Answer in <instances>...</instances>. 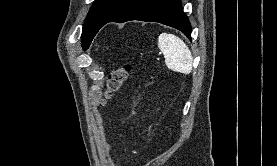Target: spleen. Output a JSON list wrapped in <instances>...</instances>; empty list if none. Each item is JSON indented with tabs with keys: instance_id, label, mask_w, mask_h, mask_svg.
Listing matches in <instances>:
<instances>
[{
	"instance_id": "1",
	"label": "spleen",
	"mask_w": 277,
	"mask_h": 166,
	"mask_svg": "<svg viewBox=\"0 0 277 166\" xmlns=\"http://www.w3.org/2000/svg\"><path fill=\"white\" fill-rule=\"evenodd\" d=\"M158 47L170 70L183 74H189L192 71L193 57L182 39L170 33H162L158 37Z\"/></svg>"
}]
</instances>
